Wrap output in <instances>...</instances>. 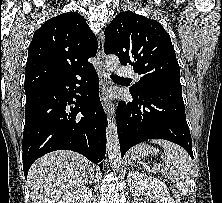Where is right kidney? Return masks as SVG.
Returning a JSON list of instances; mask_svg holds the SVG:
<instances>
[{
  "mask_svg": "<svg viewBox=\"0 0 222 203\" xmlns=\"http://www.w3.org/2000/svg\"><path fill=\"white\" fill-rule=\"evenodd\" d=\"M91 200V189L86 186H81L63 198L61 203H91Z\"/></svg>",
  "mask_w": 222,
  "mask_h": 203,
  "instance_id": "1",
  "label": "right kidney"
}]
</instances>
